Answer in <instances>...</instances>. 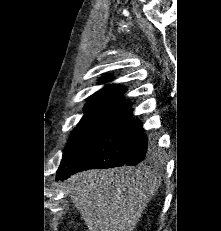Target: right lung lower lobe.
Instances as JSON below:
<instances>
[{
    "instance_id": "right-lung-lower-lobe-1",
    "label": "right lung lower lobe",
    "mask_w": 221,
    "mask_h": 231,
    "mask_svg": "<svg viewBox=\"0 0 221 231\" xmlns=\"http://www.w3.org/2000/svg\"><path fill=\"white\" fill-rule=\"evenodd\" d=\"M132 112L130 106L110 121L92 144L70 164L58 169L56 180L63 181L83 170L134 166L152 159L156 143L148 141L141 121L133 119Z\"/></svg>"
}]
</instances>
